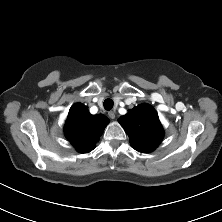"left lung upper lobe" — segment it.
Returning a JSON list of instances; mask_svg holds the SVG:
<instances>
[{
	"label": "left lung upper lobe",
	"instance_id": "left-lung-upper-lobe-1",
	"mask_svg": "<svg viewBox=\"0 0 222 222\" xmlns=\"http://www.w3.org/2000/svg\"><path fill=\"white\" fill-rule=\"evenodd\" d=\"M128 112L119 119V123L129 135L132 147L143 153L153 151L163 138V128L155 109L149 104H142Z\"/></svg>",
	"mask_w": 222,
	"mask_h": 222
}]
</instances>
